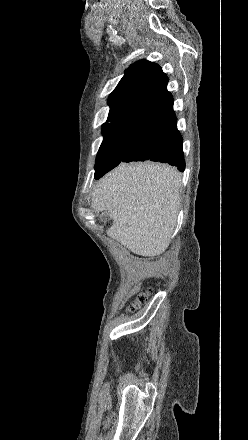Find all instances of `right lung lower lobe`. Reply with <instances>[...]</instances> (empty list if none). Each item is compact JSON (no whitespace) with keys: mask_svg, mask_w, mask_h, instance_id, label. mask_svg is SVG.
Listing matches in <instances>:
<instances>
[{"mask_svg":"<svg viewBox=\"0 0 248 440\" xmlns=\"http://www.w3.org/2000/svg\"><path fill=\"white\" fill-rule=\"evenodd\" d=\"M182 143L171 105L145 120L130 133L121 162L150 160L169 163L183 172L185 161Z\"/></svg>","mask_w":248,"mask_h":440,"instance_id":"1","label":"right lung lower lobe"}]
</instances>
